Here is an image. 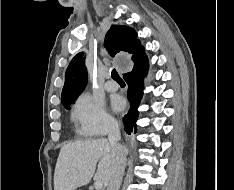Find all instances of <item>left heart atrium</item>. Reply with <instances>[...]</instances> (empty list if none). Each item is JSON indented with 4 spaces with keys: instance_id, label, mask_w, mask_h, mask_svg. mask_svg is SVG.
<instances>
[{
    "instance_id": "1",
    "label": "left heart atrium",
    "mask_w": 234,
    "mask_h": 190,
    "mask_svg": "<svg viewBox=\"0 0 234 190\" xmlns=\"http://www.w3.org/2000/svg\"><path fill=\"white\" fill-rule=\"evenodd\" d=\"M112 106L115 110H121L124 106V102L120 97H116L112 101Z\"/></svg>"
}]
</instances>
